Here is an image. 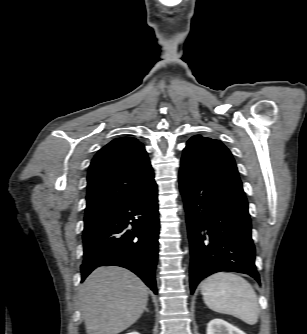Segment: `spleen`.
<instances>
[{
    "instance_id": "spleen-1",
    "label": "spleen",
    "mask_w": 307,
    "mask_h": 334,
    "mask_svg": "<svg viewBox=\"0 0 307 334\" xmlns=\"http://www.w3.org/2000/svg\"><path fill=\"white\" fill-rule=\"evenodd\" d=\"M205 304L213 311L232 315L249 325L258 321L259 304L251 284L244 278L228 272H218L201 285Z\"/></svg>"
}]
</instances>
